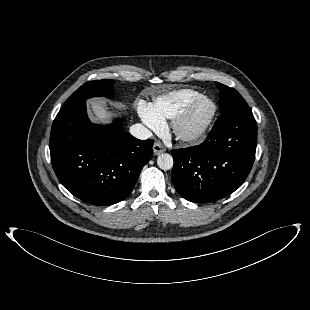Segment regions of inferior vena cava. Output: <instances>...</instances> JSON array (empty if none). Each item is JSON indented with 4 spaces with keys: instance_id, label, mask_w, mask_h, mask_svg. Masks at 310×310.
<instances>
[{
    "instance_id": "602c4592",
    "label": "inferior vena cava",
    "mask_w": 310,
    "mask_h": 310,
    "mask_svg": "<svg viewBox=\"0 0 310 310\" xmlns=\"http://www.w3.org/2000/svg\"><path fill=\"white\" fill-rule=\"evenodd\" d=\"M130 134L134 137L145 140L152 136V133L142 124H134L130 127Z\"/></svg>"
}]
</instances>
